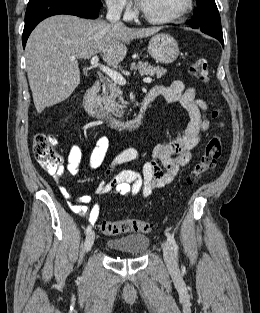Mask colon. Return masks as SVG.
<instances>
[{
    "label": "colon",
    "mask_w": 260,
    "mask_h": 313,
    "mask_svg": "<svg viewBox=\"0 0 260 313\" xmlns=\"http://www.w3.org/2000/svg\"><path fill=\"white\" fill-rule=\"evenodd\" d=\"M188 73L199 82H207L210 78L208 64L204 58H196L188 66ZM222 116L221 110L213 112L214 118ZM33 152L37 162L49 174L62 171V157L56 151V140L53 136L38 133L34 137ZM222 138L218 134L212 135L207 141L201 158L190 170L187 182L192 184L198 181L204 174L214 169L221 156ZM152 225L148 221L138 219H124L117 221H103L100 229L104 235L118 236L125 233H148Z\"/></svg>",
    "instance_id": "1"
}]
</instances>
